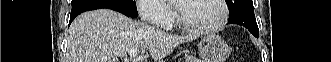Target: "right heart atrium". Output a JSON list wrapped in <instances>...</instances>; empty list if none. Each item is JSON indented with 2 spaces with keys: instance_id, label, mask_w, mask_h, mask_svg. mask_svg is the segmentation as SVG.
Segmentation results:
<instances>
[{
  "instance_id": "d8ad5b80",
  "label": "right heart atrium",
  "mask_w": 331,
  "mask_h": 62,
  "mask_svg": "<svg viewBox=\"0 0 331 62\" xmlns=\"http://www.w3.org/2000/svg\"><path fill=\"white\" fill-rule=\"evenodd\" d=\"M137 10L141 17L160 27H169L174 20V13L163 0L137 1Z\"/></svg>"
}]
</instances>
